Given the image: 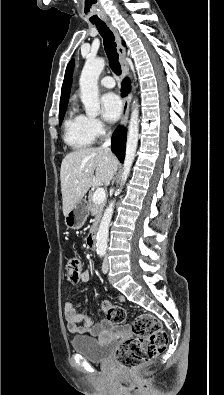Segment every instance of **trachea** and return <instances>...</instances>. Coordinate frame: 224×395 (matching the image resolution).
Listing matches in <instances>:
<instances>
[{
    "label": "trachea",
    "instance_id": "1",
    "mask_svg": "<svg viewBox=\"0 0 224 395\" xmlns=\"http://www.w3.org/2000/svg\"><path fill=\"white\" fill-rule=\"evenodd\" d=\"M94 24L96 25L100 35L103 38L105 52H106L107 57L109 59V65H110L112 71L116 75L121 74V65L118 61V53L116 51V42H115V36H114L113 32L102 21L95 22Z\"/></svg>",
    "mask_w": 224,
    "mask_h": 395
}]
</instances>
